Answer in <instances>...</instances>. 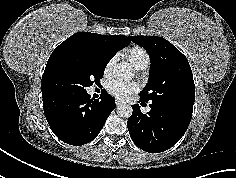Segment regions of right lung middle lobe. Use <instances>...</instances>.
I'll return each instance as SVG.
<instances>
[{
    "mask_svg": "<svg viewBox=\"0 0 236 178\" xmlns=\"http://www.w3.org/2000/svg\"><path fill=\"white\" fill-rule=\"evenodd\" d=\"M112 53L89 48H71L60 53L45 69L42 95L81 93L99 83Z\"/></svg>",
    "mask_w": 236,
    "mask_h": 178,
    "instance_id": "dd1d6c3e",
    "label": "right lung middle lobe"
}]
</instances>
